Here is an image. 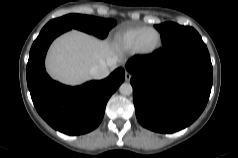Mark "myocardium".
Instances as JSON below:
<instances>
[{
  "mask_svg": "<svg viewBox=\"0 0 238 158\" xmlns=\"http://www.w3.org/2000/svg\"><path fill=\"white\" fill-rule=\"evenodd\" d=\"M147 31H154V32H156V34L158 36V41H157L156 45L153 48H151L149 50H144L141 47V40H142V37L144 36V34ZM161 44H162L161 33L156 28L146 27L137 35L132 50L134 51V53H136L138 55L148 56V55H152L153 53H155L160 48Z\"/></svg>",
  "mask_w": 238,
  "mask_h": 158,
  "instance_id": "f54148a6",
  "label": "myocardium"
}]
</instances>
